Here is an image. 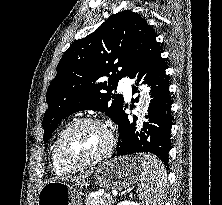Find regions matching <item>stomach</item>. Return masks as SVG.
<instances>
[{"label": "stomach", "mask_w": 222, "mask_h": 205, "mask_svg": "<svg viewBox=\"0 0 222 205\" xmlns=\"http://www.w3.org/2000/svg\"><path fill=\"white\" fill-rule=\"evenodd\" d=\"M143 156H125L106 161L93 172L96 182L105 189L125 190L141 178ZM38 205H81L74 185L51 181L38 194Z\"/></svg>", "instance_id": "0dacf381"}]
</instances>
